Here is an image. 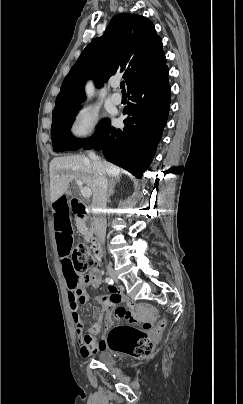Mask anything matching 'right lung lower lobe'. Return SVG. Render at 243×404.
<instances>
[{"label":"right lung lower lobe","instance_id":"obj_1","mask_svg":"<svg viewBox=\"0 0 243 404\" xmlns=\"http://www.w3.org/2000/svg\"><path fill=\"white\" fill-rule=\"evenodd\" d=\"M130 94L134 103L124 109L123 114H128L123 121L125 127L115 129L109 122L83 147L102 150L108 161L141 178L152 161L169 113L171 93L167 65L132 84L128 88Z\"/></svg>","mask_w":243,"mask_h":404}]
</instances>
